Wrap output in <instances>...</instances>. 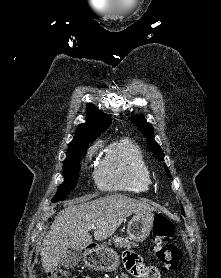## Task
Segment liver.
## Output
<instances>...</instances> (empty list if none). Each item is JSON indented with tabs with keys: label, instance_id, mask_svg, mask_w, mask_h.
<instances>
[{
	"label": "liver",
	"instance_id": "1",
	"mask_svg": "<svg viewBox=\"0 0 221 278\" xmlns=\"http://www.w3.org/2000/svg\"><path fill=\"white\" fill-rule=\"evenodd\" d=\"M84 200L68 202L67 207L55 217L45 236L41 261L46 273L61 264L69 249L82 250L92 243L88 225H95L94 239L102 241L112 236L130 215L154 211L147 203L121 194L82 203Z\"/></svg>",
	"mask_w": 221,
	"mask_h": 278
}]
</instances>
